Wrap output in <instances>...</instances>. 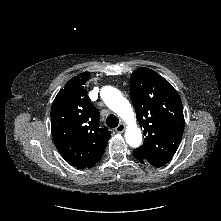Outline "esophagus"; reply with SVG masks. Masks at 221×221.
<instances>
[{"label": "esophagus", "instance_id": "obj_1", "mask_svg": "<svg viewBox=\"0 0 221 221\" xmlns=\"http://www.w3.org/2000/svg\"><path fill=\"white\" fill-rule=\"evenodd\" d=\"M116 132L117 133H122V132H124V130H125V125L124 124H119L117 127H116Z\"/></svg>", "mask_w": 221, "mask_h": 221}]
</instances>
